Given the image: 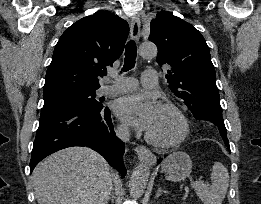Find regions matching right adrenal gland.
Wrapping results in <instances>:
<instances>
[{
    "mask_svg": "<svg viewBox=\"0 0 261 204\" xmlns=\"http://www.w3.org/2000/svg\"><path fill=\"white\" fill-rule=\"evenodd\" d=\"M111 201H112V203L114 202V193L112 192L111 193V195H110V198H109Z\"/></svg>",
    "mask_w": 261,
    "mask_h": 204,
    "instance_id": "obj_1",
    "label": "right adrenal gland"
}]
</instances>
